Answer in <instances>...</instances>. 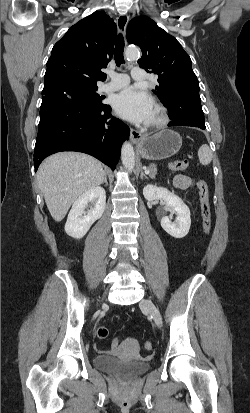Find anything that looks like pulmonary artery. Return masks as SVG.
<instances>
[{
    "mask_svg": "<svg viewBox=\"0 0 250 413\" xmlns=\"http://www.w3.org/2000/svg\"><path fill=\"white\" fill-rule=\"evenodd\" d=\"M131 76L135 80L145 79L144 71L139 67H135L132 69ZM109 77H110V81L107 82L102 88L103 91H106V92L116 91L121 88H124L130 82L129 76L124 73H109Z\"/></svg>",
    "mask_w": 250,
    "mask_h": 413,
    "instance_id": "pulmonary-artery-1",
    "label": "pulmonary artery"
}]
</instances>
